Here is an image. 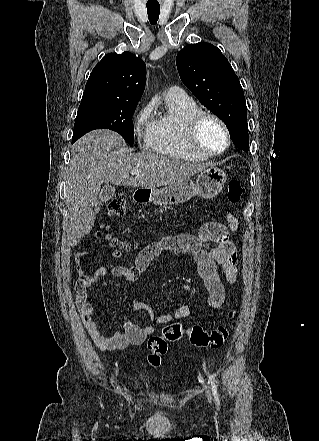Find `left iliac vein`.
Segmentation results:
<instances>
[{
    "label": "left iliac vein",
    "mask_w": 319,
    "mask_h": 441,
    "mask_svg": "<svg viewBox=\"0 0 319 441\" xmlns=\"http://www.w3.org/2000/svg\"><path fill=\"white\" fill-rule=\"evenodd\" d=\"M203 390H204V392L206 394V397H207L208 401L210 402L211 401V396H210V392H209L207 386H203Z\"/></svg>",
    "instance_id": "obj_1"
}]
</instances>
